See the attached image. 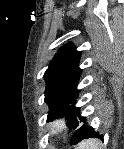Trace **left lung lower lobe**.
Listing matches in <instances>:
<instances>
[{"mask_svg":"<svg viewBox=\"0 0 124 149\" xmlns=\"http://www.w3.org/2000/svg\"><path fill=\"white\" fill-rule=\"evenodd\" d=\"M93 137L99 139L103 138V136L99 135V132L95 131V129L92 126H89L86 123H84L81 127H79L76 130L75 134L72 137L71 144H77L84 139Z\"/></svg>","mask_w":124,"mask_h":149,"instance_id":"1","label":"left lung lower lobe"}]
</instances>
